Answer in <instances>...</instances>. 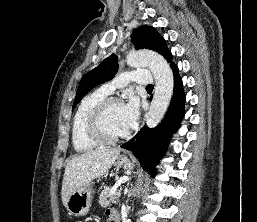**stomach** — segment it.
Listing matches in <instances>:
<instances>
[{"label": "stomach", "instance_id": "obj_1", "mask_svg": "<svg viewBox=\"0 0 257 222\" xmlns=\"http://www.w3.org/2000/svg\"><path fill=\"white\" fill-rule=\"evenodd\" d=\"M115 166L124 169H133L134 163L126 156H120L115 161ZM92 187L91 184H87L70 194L67 200L66 208L71 215L85 216L90 209L92 203Z\"/></svg>", "mask_w": 257, "mask_h": 222}]
</instances>
